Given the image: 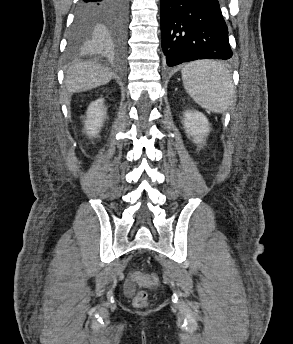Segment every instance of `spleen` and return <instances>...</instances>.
Here are the masks:
<instances>
[{"label":"spleen","mask_w":293,"mask_h":344,"mask_svg":"<svg viewBox=\"0 0 293 344\" xmlns=\"http://www.w3.org/2000/svg\"><path fill=\"white\" fill-rule=\"evenodd\" d=\"M182 73L184 88L201 107L224 112L233 96L229 70L220 62L201 60L186 65Z\"/></svg>","instance_id":"1"}]
</instances>
